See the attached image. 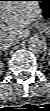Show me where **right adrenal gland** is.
<instances>
[{"mask_svg": "<svg viewBox=\"0 0 50 111\" xmlns=\"http://www.w3.org/2000/svg\"><path fill=\"white\" fill-rule=\"evenodd\" d=\"M9 47H10V46H5L3 49H1L2 52H4V56H7V50H8ZM2 52H1V53H2Z\"/></svg>", "mask_w": 50, "mask_h": 111, "instance_id": "1", "label": "right adrenal gland"}]
</instances>
